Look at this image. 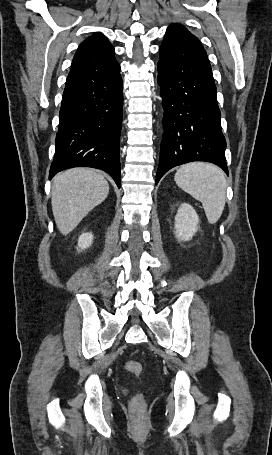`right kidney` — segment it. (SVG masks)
Returning a JSON list of instances; mask_svg holds the SVG:
<instances>
[{
    "label": "right kidney",
    "mask_w": 272,
    "mask_h": 455,
    "mask_svg": "<svg viewBox=\"0 0 272 455\" xmlns=\"http://www.w3.org/2000/svg\"><path fill=\"white\" fill-rule=\"evenodd\" d=\"M93 242V235L91 232L82 233L78 238V251L89 248Z\"/></svg>",
    "instance_id": "ca27d5eb"
}]
</instances>
